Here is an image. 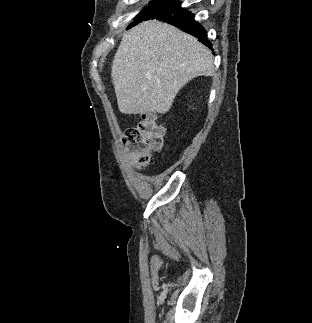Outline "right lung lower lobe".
<instances>
[{"instance_id":"obj_1","label":"right lung lower lobe","mask_w":312,"mask_h":323,"mask_svg":"<svg viewBox=\"0 0 312 323\" xmlns=\"http://www.w3.org/2000/svg\"><path fill=\"white\" fill-rule=\"evenodd\" d=\"M163 22L177 26L178 28L187 31L191 35L197 37L200 42L212 48L211 42L206 37L204 28L194 20L192 13L185 9L178 11L174 14L160 18Z\"/></svg>"}]
</instances>
